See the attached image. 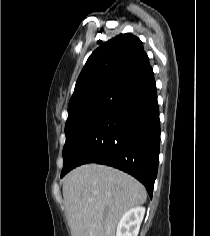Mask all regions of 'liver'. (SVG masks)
Returning a JSON list of instances; mask_svg holds the SVG:
<instances>
[{
    "mask_svg": "<svg viewBox=\"0 0 210 236\" xmlns=\"http://www.w3.org/2000/svg\"><path fill=\"white\" fill-rule=\"evenodd\" d=\"M63 197L72 236H115L121 216L143 204L147 194L122 171L85 164L66 175Z\"/></svg>",
    "mask_w": 210,
    "mask_h": 236,
    "instance_id": "6515ba94",
    "label": "liver"
}]
</instances>
